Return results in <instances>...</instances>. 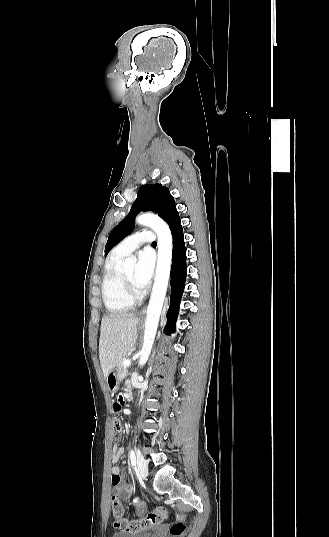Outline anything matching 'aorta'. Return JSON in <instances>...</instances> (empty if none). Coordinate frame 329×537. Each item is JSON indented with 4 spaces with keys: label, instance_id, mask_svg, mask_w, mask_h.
Instances as JSON below:
<instances>
[{
    "label": "aorta",
    "instance_id": "762f6f07",
    "mask_svg": "<svg viewBox=\"0 0 329 537\" xmlns=\"http://www.w3.org/2000/svg\"><path fill=\"white\" fill-rule=\"evenodd\" d=\"M137 223L151 227L158 237V259L155 274V282L150 297L145 322L144 341L140 351L139 365L143 366L152 349L158 322L163 307L172 260V235L168 225L153 214H141L136 219ZM136 264V258H126L123 269L132 270Z\"/></svg>",
    "mask_w": 329,
    "mask_h": 537
}]
</instances>
